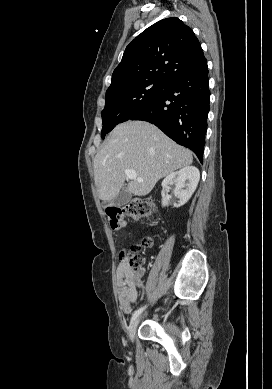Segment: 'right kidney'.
<instances>
[{
	"label": "right kidney",
	"mask_w": 272,
	"mask_h": 389,
	"mask_svg": "<svg viewBox=\"0 0 272 389\" xmlns=\"http://www.w3.org/2000/svg\"><path fill=\"white\" fill-rule=\"evenodd\" d=\"M200 179V172L194 166H186L179 171L169 174L162 182V206L168 205L170 197L166 195V191L171 185H175V195L178 197V203L175 207H180L187 203L192 194L196 190Z\"/></svg>",
	"instance_id": "1"
}]
</instances>
